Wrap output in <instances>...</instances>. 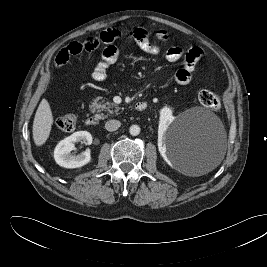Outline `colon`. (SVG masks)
Instances as JSON below:
<instances>
[{
  "label": "colon",
  "instance_id": "1",
  "mask_svg": "<svg viewBox=\"0 0 267 267\" xmlns=\"http://www.w3.org/2000/svg\"><path fill=\"white\" fill-rule=\"evenodd\" d=\"M154 38L158 41H165L167 36L164 31H159L154 34ZM198 101L205 107L217 110L221 107V99L218 94L210 90H202L198 94ZM59 129L65 132H70L76 127V117L73 114H65L60 116L57 121Z\"/></svg>",
  "mask_w": 267,
  "mask_h": 267
}]
</instances>
